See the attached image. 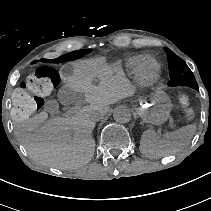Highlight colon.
I'll return each instance as SVG.
<instances>
[{"mask_svg": "<svg viewBox=\"0 0 211 211\" xmlns=\"http://www.w3.org/2000/svg\"><path fill=\"white\" fill-rule=\"evenodd\" d=\"M59 73L50 67H39L29 75L13 92L12 117L16 121H25L37 114L43 107L45 99L58 86ZM178 101L184 109L185 116L192 120L195 116L189 98L179 94Z\"/></svg>", "mask_w": 211, "mask_h": 211, "instance_id": "colon-1", "label": "colon"}]
</instances>
